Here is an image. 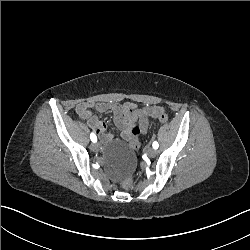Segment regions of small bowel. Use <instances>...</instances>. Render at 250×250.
<instances>
[{"instance_id":"c3829d8e","label":"small bowel","mask_w":250,"mask_h":250,"mask_svg":"<svg viewBox=\"0 0 250 250\" xmlns=\"http://www.w3.org/2000/svg\"><path fill=\"white\" fill-rule=\"evenodd\" d=\"M103 113L111 110L115 125L120 130V137L124 141L131 140L132 130L137 127L140 133H146L149 127V118H156L155 116H146L143 108H134L129 104L111 105L106 103H86L77 104L76 112L79 116L87 119L90 122L94 132L104 142H112L114 136L107 132V124L105 121L92 116L91 111Z\"/></svg>"}]
</instances>
